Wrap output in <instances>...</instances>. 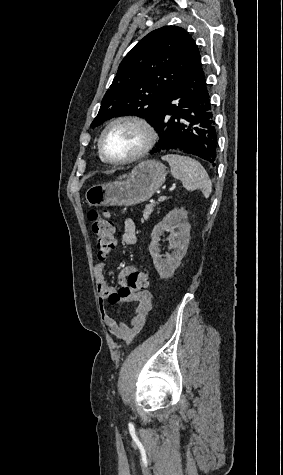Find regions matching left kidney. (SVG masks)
Instances as JSON below:
<instances>
[{
    "label": "left kidney",
    "mask_w": 283,
    "mask_h": 475,
    "mask_svg": "<svg viewBox=\"0 0 283 475\" xmlns=\"http://www.w3.org/2000/svg\"><path fill=\"white\" fill-rule=\"evenodd\" d=\"M178 232H175V230ZM164 230H170L171 234L168 236L170 247L174 249L172 253L166 255L163 259L160 255V247L158 241L160 236H163ZM191 226L188 222V216L184 208H174L171 210L162 222H159L152 230V241L149 245V251L153 257V263L162 279L172 277L175 269L179 267L182 257H184L187 247L189 245Z\"/></svg>",
    "instance_id": "left-kidney-1"
}]
</instances>
